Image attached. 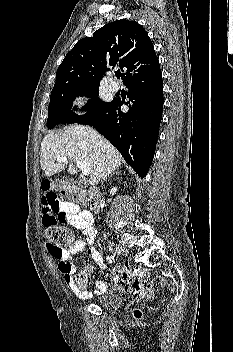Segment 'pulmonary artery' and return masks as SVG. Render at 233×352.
I'll list each match as a JSON object with an SVG mask.
<instances>
[{"label":"pulmonary artery","mask_w":233,"mask_h":352,"mask_svg":"<svg viewBox=\"0 0 233 352\" xmlns=\"http://www.w3.org/2000/svg\"><path fill=\"white\" fill-rule=\"evenodd\" d=\"M109 88L111 89V91L116 92L120 89V85L116 81H111L109 83Z\"/></svg>","instance_id":"e3ab8cb5"}]
</instances>
